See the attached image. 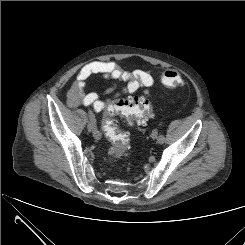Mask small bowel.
<instances>
[{"mask_svg":"<svg viewBox=\"0 0 245 245\" xmlns=\"http://www.w3.org/2000/svg\"><path fill=\"white\" fill-rule=\"evenodd\" d=\"M100 75L104 78H111L125 82L120 91L110 88L106 91V98L103 99L96 92H86L85 87L89 78ZM155 84L151 72L145 70L127 71L123 70L114 61H97L84 66L77 74L67 94V103L70 107L91 106L94 111L105 110L113 101L122 95L133 94L141 88H149Z\"/></svg>","mask_w":245,"mask_h":245,"instance_id":"c3829d8e","label":"small bowel"}]
</instances>
